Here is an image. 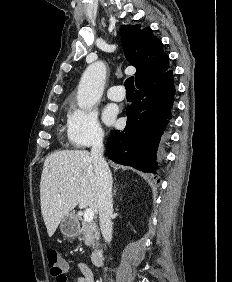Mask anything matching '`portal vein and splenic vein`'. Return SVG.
I'll use <instances>...</instances> for the list:
<instances>
[{
    "mask_svg": "<svg viewBox=\"0 0 232 282\" xmlns=\"http://www.w3.org/2000/svg\"><path fill=\"white\" fill-rule=\"evenodd\" d=\"M94 211L91 208H87L84 211V220L87 222L93 221Z\"/></svg>",
    "mask_w": 232,
    "mask_h": 282,
    "instance_id": "obj_1",
    "label": "portal vein and splenic vein"
}]
</instances>
